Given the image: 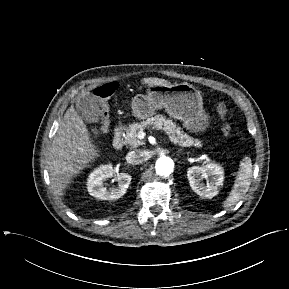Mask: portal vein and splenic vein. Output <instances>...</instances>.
Returning a JSON list of instances; mask_svg holds the SVG:
<instances>
[{
	"label": "portal vein and splenic vein",
	"instance_id": "18ae733b",
	"mask_svg": "<svg viewBox=\"0 0 289 289\" xmlns=\"http://www.w3.org/2000/svg\"><path fill=\"white\" fill-rule=\"evenodd\" d=\"M145 136H146V133L144 131H139L138 132V138L139 139H144Z\"/></svg>",
	"mask_w": 289,
	"mask_h": 289
}]
</instances>
